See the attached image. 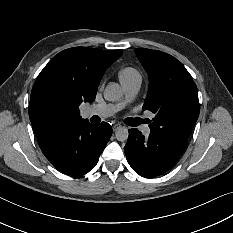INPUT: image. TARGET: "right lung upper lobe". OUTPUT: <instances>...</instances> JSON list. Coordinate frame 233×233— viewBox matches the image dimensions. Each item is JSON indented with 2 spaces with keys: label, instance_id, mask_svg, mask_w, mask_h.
<instances>
[{
  "label": "right lung upper lobe",
  "instance_id": "cb5924a9",
  "mask_svg": "<svg viewBox=\"0 0 233 233\" xmlns=\"http://www.w3.org/2000/svg\"><path fill=\"white\" fill-rule=\"evenodd\" d=\"M122 52L74 47L53 57L31 92L29 117L36 136L84 120L79 105L94 101L103 74Z\"/></svg>",
  "mask_w": 233,
  "mask_h": 233
}]
</instances>
